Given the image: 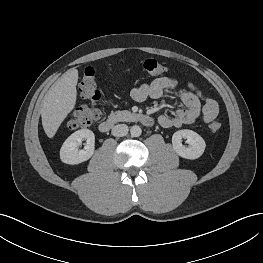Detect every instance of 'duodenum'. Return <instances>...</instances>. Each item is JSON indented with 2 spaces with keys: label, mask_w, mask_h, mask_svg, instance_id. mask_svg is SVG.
<instances>
[{
  "label": "duodenum",
  "mask_w": 263,
  "mask_h": 263,
  "mask_svg": "<svg viewBox=\"0 0 263 263\" xmlns=\"http://www.w3.org/2000/svg\"><path fill=\"white\" fill-rule=\"evenodd\" d=\"M135 119L147 127L152 126L154 123L153 118L145 114H136ZM115 124H116L115 120L106 119L99 124V129L101 132H108L115 126Z\"/></svg>",
  "instance_id": "duodenum-1"
}]
</instances>
